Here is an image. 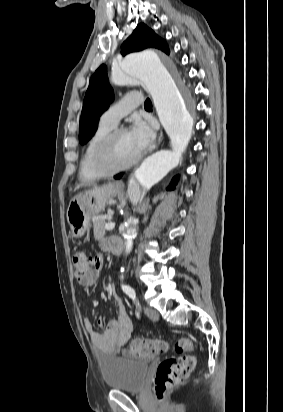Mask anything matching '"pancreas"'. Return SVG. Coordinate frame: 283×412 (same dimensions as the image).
<instances>
[{
    "label": "pancreas",
    "mask_w": 283,
    "mask_h": 412,
    "mask_svg": "<svg viewBox=\"0 0 283 412\" xmlns=\"http://www.w3.org/2000/svg\"><path fill=\"white\" fill-rule=\"evenodd\" d=\"M106 225V221L104 218H97L93 220V230H94V237L96 240H100L105 235L104 226Z\"/></svg>",
    "instance_id": "pancreas-1"
}]
</instances>
